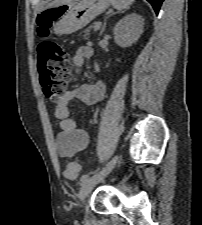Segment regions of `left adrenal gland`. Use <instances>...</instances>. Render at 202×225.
I'll list each match as a JSON object with an SVG mask.
<instances>
[{"mask_svg": "<svg viewBox=\"0 0 202 225\" xmlns=\"http://www.w3.org/2000/svg\"><path fill=\"white\" fill-rule=\"evenodd\" d=\"M113 14H115V13H112V14H110L108 17L105 18L104 23H103V26H102V29H101L100 34H99L100 36L103 34V32H104V30H105V28H106V21H107V19H108L111 15H113Z\"/></svg>", "mask_w": 202, "mask_h": 225, "instance_id": "1", "label": "left adrenal gland"}]
</instances>
